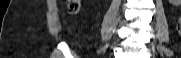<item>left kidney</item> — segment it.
Masks as SVG:
<instances>
[{
    "mask_svg": "<svg viewBox=\"0 0 181 58\" xmlns=\"http://www.w3.org/2000/svg\"><path fill=\"white\" fill-rule=\"evenodd\" d=\"M169 2L174 6H180L181 0H169Z\"/></svg>",
    "mask_w": 181,
    "mask_h": 58,
    "instance_id": "left-kidney-1",
    "label": "left kidney"
}]
</instances>
